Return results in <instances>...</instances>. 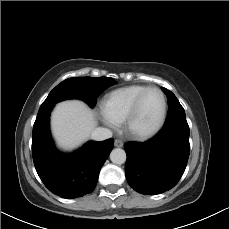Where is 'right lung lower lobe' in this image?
I'll return each mask as SVG.
<instances>
[{
  "instance_id": "98d812e1",
  "label": "right lung lower lobe",
  "mask_w": 229,
  "mask_h": 229,
  "mask_svg": "<svg viewBox=\"0 0 229 229\" xmlns=\"http://www.w3.org/2000/svg\"><path fill=\"white\" fill-rule=\"evenodd\" d=\"M53 106H41L33 126L32 156L36 171L44 185L54 194L73 199L91 193L100 169L114 144L113 139L91 141L79 151L62 154L54 147L49 116Z\"/></svg>"
}]
</instances>
